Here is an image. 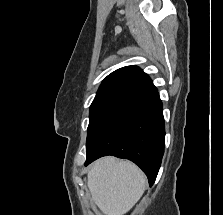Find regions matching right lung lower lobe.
I'll return each instance as SVG.
<instances>
[{"mask_svg":"<svg viewBox=\"0 0 223 215\" xmlns=\"http://www.w3.org/2000/svg\"><path fill=\"white\" fill-rule=\"evenodd\" d=\"M162 110L158 92L147 96L86 154L85 165L106 155L125 158L142 169L152 186L164 154L165 126Z\"/></svg>","mask_w":223,"mask_h":215,"instance_id":"98d812e1","label":"right lung lower lobe"}]
</instances>
